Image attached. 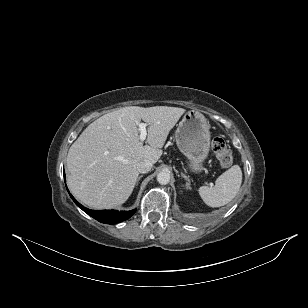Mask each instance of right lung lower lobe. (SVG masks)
<instances>
[{
  "label": "right lung lower lobe",
  "mask_w": 308,
  "mask_h": 308,
  "mask_svg": "<svg viewBox=\"0 0 308 308\" xmlns=\"http://www.w3.org/2000/svg\"><path fill=\"white\" fill-rule=\"evenodd\" d=\"M65 177V174H64ZM69 192V191H68ZM71 198L75 202V204L80 207L84 212L88 215L96 219L97 221L105 224H115L127 220L130 218L136 211V209L131 211H116V210H89L83 207L80 203L76 201V199L70 194Z\"/></svg>",
  "instance_id": "obj_1"
}]
</instances>
